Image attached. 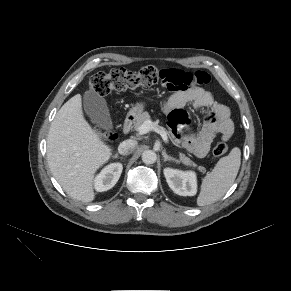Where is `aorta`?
I'll list each match as a JSON object with an SVG mask.
<instances>
[{
	"mask_svg": "<svg viewBox=\"0 0 291 291\" xmlns=\"http://www.w3.org/2000/svg\"><path fill=\"white\" fill-rule=\"evenodd\" d=\"M156 159H157V155L154 151L152 150H145L143 153H142V161L145 163V164H153L156 162Z\"/></svg>",
	"mask_w": 291,
	"mask_h": 291,
	"instance_id": "obj_1",
	"label": "aorta"
}]
</instances>
